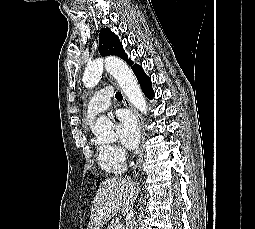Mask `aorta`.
Here are the masks:
<instances>
[{
  "instance_id": "1",
  "label": "aorta",
  "mask_w": 255,
  "mask_h": 229,
  "mask_svg": "<svg viewBox=\"0 0 255 229\" xmlns=\"http://www.w3.org/2000/svg\"><path fill=\"white\" fill-rule=\"evenodd\" d=\"M116 79L126 97L132 105L142 113L147 112V103L138 82L129 68L121 59L108 57L106 59H97L89 63L83 75V83L86 87H95L103 72V66ZM93 133L100 142H114L117 135L112 130L111 121L105 116H100L95 122Z\"/></svg>"
}]
</instances>
